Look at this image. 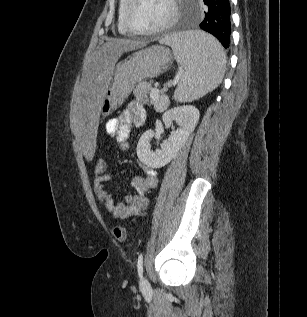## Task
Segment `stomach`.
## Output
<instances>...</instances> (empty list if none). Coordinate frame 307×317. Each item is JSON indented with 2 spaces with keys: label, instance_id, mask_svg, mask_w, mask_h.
I'll return each instance as SVG.
<instances>
[{
  "label": "stomach",
  "instance_id": "1",
  "mask_svg": "<svg viewBox=\"0 0 307 317\" xmlns=\"http://www.w3.org/2000/svg\"><path fill=\"white\" fill-rule=\"evenodd\" d=\"M171 57L168 48L154 45L141 49L120 61L113 69L111 82L101 101V113L105 116L111 114L122 104L136 84L166 71Z\"/></svg>",
  "mask_w": 307,
  "mask_h": 317
}]
</instances>
